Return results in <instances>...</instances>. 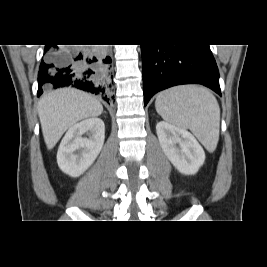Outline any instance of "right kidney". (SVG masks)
<instances>
[{
  "label": "right kidney",
  "mask_w": 267,
  "mask_h": 267,
  "mask_svg": "<svg viewBox=\"0 0 267 267\" xmlns=\"http://www.w3.org/2000/svg\"><path fill=\"white\" fill-rule=\"evenodd\" d=\"M85 134L89 137H82ZM104 138L105 125L100 118L93 117L75 124L60 143L57 153L59 168L69 176H80L99 155Z\"/></svg>",
  "instance_id": "1"
}]
</instances>
